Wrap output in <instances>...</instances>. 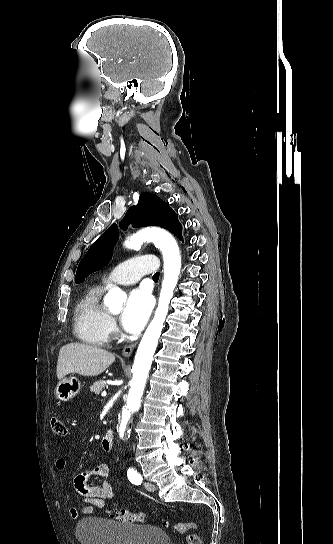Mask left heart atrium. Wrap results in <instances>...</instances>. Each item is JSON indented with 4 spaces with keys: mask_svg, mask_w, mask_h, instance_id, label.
Returning <instances> with one entry per match:
<instances>
[{
    "mask_svg": "<svg viewBox=\"0 0 333 544\" xmlns=\"http://www.w3.org/2000/svg\"><path fill=\"white\" fill-rule=\"evenodd\" d=\"M153 300L145 288H136L128 296L125 308L121 315V324L129 333H138L145 326L151 310Z\"/></svg>",
    "mask_w": 333,
    "mask_h": 544,
    "instance_id": "39dd6f15",
    "label": "left heart atrium"
}]
</instances>
